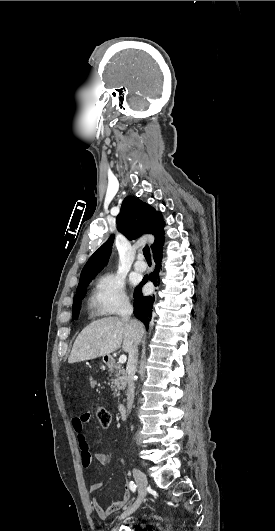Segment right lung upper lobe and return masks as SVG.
<instances>
[{
    "label": "right lung upper lobe",
    "instance_id": "right-lung-upper-lobe-1",
    "mask_svg": "<svg viewBox=\"0 0 275 531\" xmlns=\"http://www.w3.org/2000/svg\"><path fill=\"white\" fill-rule=\"evenodd\" d=\"M116 223L118 230L130 240L136 239L144 233L153 235L155 241L151 245L152 250L164 241L162 214L134 196H128L124 199ZM113 241L114 234L89 258L82 269L78 288L89 279L94 278L107 264Z\"/></svg>",
    "mask_w": 275,
    "mask_h": 531
}]
</instances>
